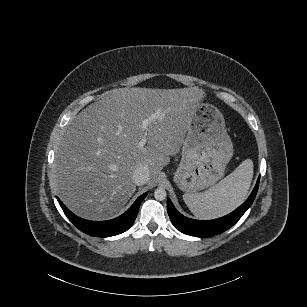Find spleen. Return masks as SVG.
Here are the masks:
<instances>
[{"mask_svg":"<svg viewBox=\"0 0 307 307\" xmlns=\"http://www.w3.org/2000/svg\"><path fill=\"white\" fill-rule=\"evenodd\" d=\"M252 178L253 161L246 159L215 186L202 193H185L183 200L195 217L216 219L234 211L245 201Z\"/></svg>","mask_w":307,"mask_h":307,"instance_id":"spleen-1","label":"spleen"}]
</instances>
